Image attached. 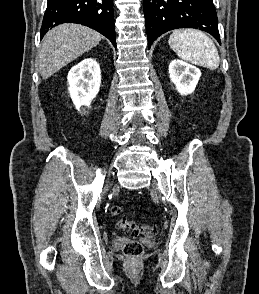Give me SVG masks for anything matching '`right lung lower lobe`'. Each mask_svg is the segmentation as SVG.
Masks as SVG:
<instances>
[{"label":"right lung lower lobe","mask_w":259,"mask_h":294,"mask_svg":"<svg viewBox=\"0 0 259 294\" xmlns=\"http://www.w3.org/2000/svg\"><path fill=\"white\" fill-rule=\"evenodd\" d=\"M67 22L100 32L116 47L113 0H48L41 38L48 29Z\"/></svg>","instance_id":"98d812e1"}]
</instances>
